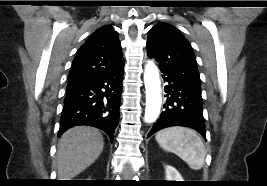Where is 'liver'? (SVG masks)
<instances>
[{
    "instance_id": "obj_1",
    "label": "liver",
    "mask_w": 267,
    "mask_h": 186,
    "mask_svg": "<svg viewBox=\"0 0 267 186\" xmlns=\"http://www.w3.org/2000/svg\"><path fill=\"white\" fill-rule=\"evenodd\" d=\"M104 147L102 134L93 127L76 126L58 141L56 169L59 180H70L99 157Z\"/></svg>"
}]
</instances>
